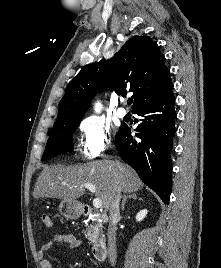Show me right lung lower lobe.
<instances>
[{"mask_svg": "<svg viewBox=\"0 0 221 268\" xmlns=\"http://www.w3.org/2000/svg\"><path fill=\"white\" fill-rule=\"evenodd\" d=\"M174 96L167 95L137 107L132 112L141 118L135 128V138L131 128L123 124L116 134L115 146L122 159L132 166L142 181L153 189L159 197L169 203L171 193L172 162L170 153L176 132Z\"/></svg>", "mask_w": 221, "mask_h": 268, "instance_id": "obj_1", "label": "right lung lower lobe"}]
</instances>
